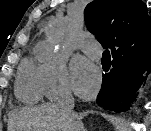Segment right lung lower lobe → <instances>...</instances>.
I'll return each instance as SVG.
<instances>
[{
    "instance_id": "1",
    "label": "right lung lower lobe",
    "mask_w": 151,
    "mask_h": 131,
    "mask_svg": "<svg viewBox=\"0 0 151 131\" xmlns=\"http://www.w3.org/2000/svg\"><path fill=\"white\" fill-rule=\"evenodd\" d=\"M128 50L112 61L113 69L103 76L97 104L115 112L127 111L140 86L151 72V56L146 60H135Z\"/></svg>"
}]
</instances>
